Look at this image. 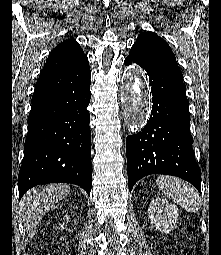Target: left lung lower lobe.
<instances>
[{
  "label": "left lung lower lobe",
  "mask_w": 221,
  "mask_h": 255,
  "mask_svg": "<svg viewBox=\"0 0 221 255\" xmlns=\"http://www.w3.org/2000/svg\"><path fill=\"white\" fill-rule=\"evenodd\" d=\"M138 64L149 78L152 112L146 126L126 139L128 185L150 174L173 175L201 192V171L192 150L186 86L165 67L131 49L126 65Z\"/></svg>",
  "instance_id": "1"
}]
</instances>
